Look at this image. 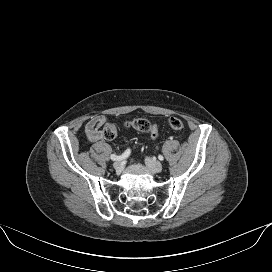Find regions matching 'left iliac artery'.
<instances>
[{"instance_id":"1","label":"left iliac artery","mask_w":272,"mask_h":272,"mask_svg":"<svg viewBox=\"0 0 272 272\" xmlns=\"http://www.w3.org/2000/svg\"><path fill=\"white\" fill-rule=\"evenodd\" d=\"M158 159L162 161V160H164V157L162 155H159Z\"/></svg>"}]
</instances>
